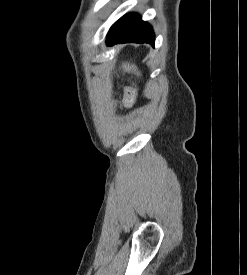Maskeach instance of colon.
<instances>
[{
  "instance_id": "colon-1",
  "label": "colon",
  "mask_w": 247,
  "mask_h": 275,
  "mask_svg": "<svg viewBox=\"0 0 247 275\" xmlns=\"http://www.w3.org/2000/svg\"><path fill=\"white\" fill-rule=\"evenodd\" d=\"M136 101V90L132 87L126 88V105L131 107Z\"/></svg>"
}]
</instances>
